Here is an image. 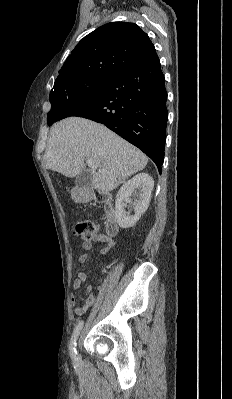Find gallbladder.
<instances>
[{
	"mask_svg": "<svg viewBox=\"0 0 232 399\" xmlns=\"http://www.w3.org/2000/svg\"><path fill=\"white\" fill-rule=\"evenodd\" d=\"M76 184L81 186V188H90L92 184V176L90 172H86V170H82L80 172L78 178H76Z\"/></svg>",
	"mask_w": 232,
	"mask_h": 399,
	"instance_id": "bac80fb5",
	"label": "gallbladder"
}]
</instances>
